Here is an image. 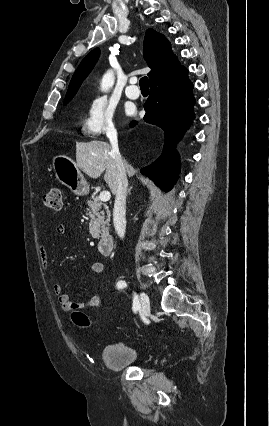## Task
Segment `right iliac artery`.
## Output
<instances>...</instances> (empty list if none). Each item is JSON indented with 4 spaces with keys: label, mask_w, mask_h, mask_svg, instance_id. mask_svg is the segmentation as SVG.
Instances as JSON below:
<instances>
[{
    "label": "right iliac artery",
    "mask_w": 269,
    "mask_h": 426,
    "mask_svg": "<svg viewBox=\"0 0 269 426\" xmlns=\"http://www.w3.org/2000/svg\"><path fill=\"white\" fill-rule=\"evenodd\" d=\"M126 286H127V284L124 281H121V282L118 283V287L119 288H124ZM140 308H141V305H140V302H139V297H138V295L136 293H134V295H133V307H132V309L136 313L137 311L140 310Z\"/></svg>",
    "instance_id": "82829eb1"
}]
</instances>
